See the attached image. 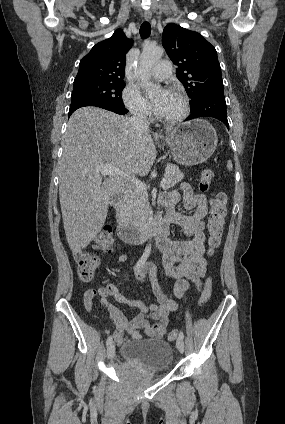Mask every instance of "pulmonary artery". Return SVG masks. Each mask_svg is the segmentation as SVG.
<instances>
[{
  "mask_svg": "<svg viewBox=\"0 0 285 424\" xmlns=\"http://www.w3.org/2000/svg\"><path fill=\"white\" fill-rule=\"evenodd\" d=\"M151 75L156 79H167L172 74L171 63L167 59H162L151 69Z\"/></svg>",
  "mask_w": 285,
  "mask_h": 424,
  "instance_id": "e3ab8cb5",
  "label": "pulmonary artery"
}]
</instances>
